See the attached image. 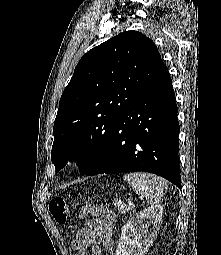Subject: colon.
Returning <instances> with one entry per match:
<instances>
[{
	"label": "colon",
	"mask_w": 221,
	"mask_h": 255,
	"mask_svg": "<svg viewBox=\"0 0 221 255\" xmlns=\"http://www.w3.org/2000/svg\"><path fill=\"white\" fill-rule=\"evenodd\" d=\"M50 213L52 214L54 220L58 224H65L69 215V208L67 203L60 197L50 200L48 204ZM91 208H86L84 212H90Z\"/></svg>",
	"instance_id": "colon-1"
}]
</instances>
